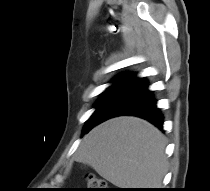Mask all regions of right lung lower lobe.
Returning a JSON list of instances; mask_svg holds the SVG:
<instances>
[{
	"mask_svg": "<svg viewBox=\"0 0 210 191\" xmlns=\"http://www.w3.org/2000/svg\"><path fill=\"white\" fill-rule=\"evenodd\" d=\"M121 115L141 117L162 129L163 115L156 106L152 91L148 90L147 81L136 78L133 73L123 74L115 84L96 115L95 126Z\"/></svg>",
	"mask_w": 210,
	"mask_h": 191,
	"instance_id": "obj_1",
	"label": "right lung lower lobe"
}]
</instances>
